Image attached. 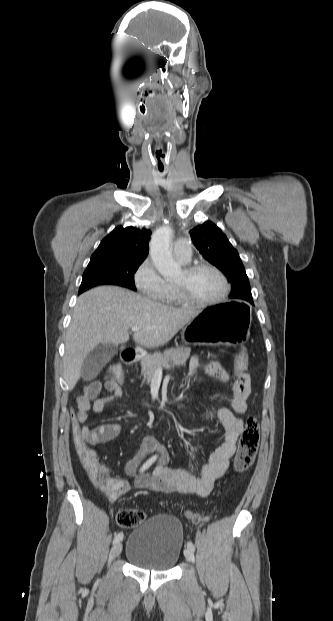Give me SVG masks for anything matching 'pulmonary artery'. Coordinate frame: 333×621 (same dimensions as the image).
<instances>
[{"label":"pulmonary artery","instance_id":"e3ab8cb5","mask_svg":"<svg viewBox=\"0 0 333 621\" xmlns=\"http://www.w3.org/2000/svg\"><path fill=\"white\" fill-rule=\"evenodd\" d=\"M174 255L182 262H189L192 255L191 243L187 239H178L174 244Z\"/></svg>","mask_w":333,"mask_h":621}]
</instances>
